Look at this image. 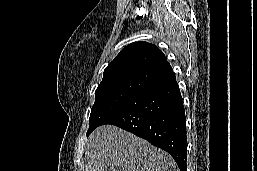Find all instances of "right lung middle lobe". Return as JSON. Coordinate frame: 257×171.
Listing matches in <instances>:
<instances>
[{"label": "right lung middle lobe", "instance_id": "dd1d6c3e", "mask_svg": "<svg viewBox=\"0 0 257 171\" xmlns=\"http://www.w3.org/2000/svg\"><path fill=\"white\" fill-rule=\"evenodd\" d=\"M145 86L126 87L121 85L97 88L95 103L89 118L90 126L87 136L115 111L146 90Z\"/></svg>", "mask_w": 257, "mask_h": 171}]
</instances>
